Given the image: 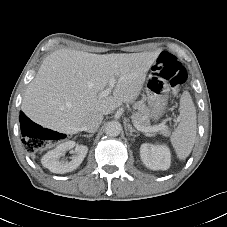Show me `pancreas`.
Returning a JSON list of instances; mask_svg holds the SVG:
<instances>
[{
  "label": "pancreas",
  "mask_w": 227,
  "mask_h": 227,
  "mask_svg": "<svg viewBox=\"0 0 227 227\" xmlns=\"http://www.w3.org/2000/svg\"><path fill=\"white\" fill-rule=\"evenodd\" d=\"M133 107H134V109L137 110L133 114V119L136 120L143 127H151L150 126V119H149V115H150L149 109L144 104H142L141 102L134 103ZM160 131L165 136L170 135V130H168L167 127H164Z\"/></svg>",
  "instance_id": "cf45deb5"
}]
</instances>
